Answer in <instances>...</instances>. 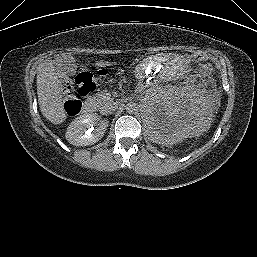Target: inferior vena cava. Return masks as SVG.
Masks as SVG:
<instances>
[{"label": "inferior vena cava", "instance_id": "602c4592", "mask_svg": "<svg viewBox=\"0 0 257 257\" xmlns=\"http://www.w3.org/2000/svg\"><path fill=\"white\" fill-rule=\"evenodd\" d=\"M117 104L115 102L108 101L101 109L102 114H110L117 109Z\"/></svg>", "mask_w": 257, "mask_h": 257}]
</instances>
